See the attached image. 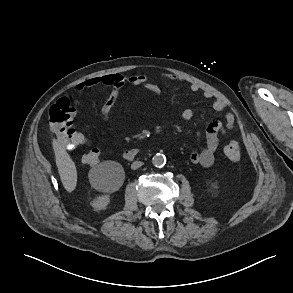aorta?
Segmentation results:
<instances>
[{
    "mask_svg": "<svg viewBox=\"0 0 293 293\" xmlns=\"http://www.w3.org/2000/svg\"><path fill=\"white\" fill-rule=\"evenodd\" d=\"M152 163L155 167H163L166 164V157L161 153H157L152 158Z\"/></svg>",
    "mask_w": 293,
    "mask_h": 293,
    "instance_id": "obj_1",
    "label": "aorta"
}]
</instances>
